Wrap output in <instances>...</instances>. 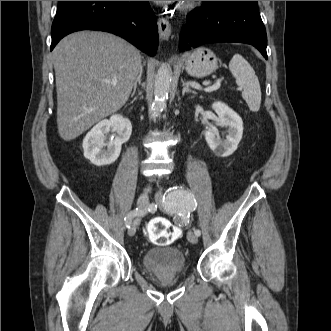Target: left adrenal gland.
I'll return each mask as SVG.
<instances>
[{
	"mask_svg": "<svg viewBox=\"0 0 331 331\" xmlns=\"http://www.w3.org/2000/svg\"><path fill=\"white\" fill-rule=\"evenodd\" d=\"M185 93H193V94H196V92L195 91H193V90H191L190 88H189V85H188V83L187 82H183V90H182V95L184 96L185 95Z\"/></svg>",
	"mask_w": 331,
	"mask_h": 331,
	"instance_id": "1",
	"label": "left adrenal gland"
}]
</instances>
